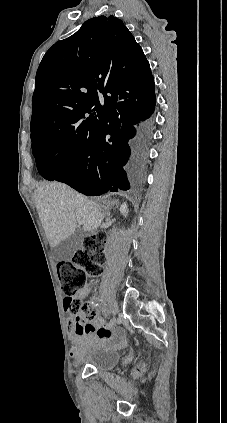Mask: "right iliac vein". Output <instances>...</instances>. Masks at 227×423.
Wrapping results in <instances>:
<instances>
[{
    "label": "right iliac vein",
    "mask_w": 227,
    "mask_h": 423,
    "mask_svg": "<svg viewBox=\"0 0 227 423\" xmlns=\"http://www.w3.org/2000/svg\"><path fill=\"white\" fill-rule=\"evenodd\" d=\"M110 309H111L112 313L115 314V312L117 311V305H116L115 302L111 303Z\"/></svg>",
    "instance_id": "obj_1"
}]
</instances>
